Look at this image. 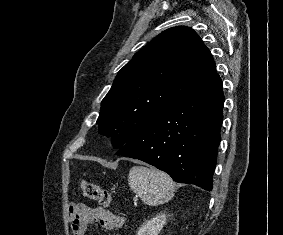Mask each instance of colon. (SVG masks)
<instances>
[{
    "instance_id": "colon-1",
    "label": "colon",
    "mask_w": 283,
    "mask_h": 235,
    "mask_svg": "<svg viewBox=\"0 0 283 235\" xmlns=\"http://www.w3.org/2000/svg\"><path fill=\"white\" fill-rule=\"evenodd\" d=\"M80 187L87 198L98 201L104 207L110 205L112 197L108 190L86 179L81 180Z\"/></svg>"
}]
</instances>
